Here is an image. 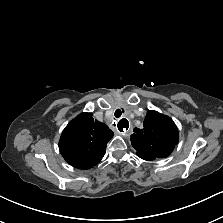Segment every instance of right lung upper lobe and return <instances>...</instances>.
Listing matches in <instances>:
<instances>
[{"label": "right lung upper lobe", "instance_id": "right-lung-upper-lobe-1", "mask_svg": "<svg viewBox=\"0 0 223 223\" xmlns=\"http://www.w3.org/2000/svg\"><path fill=\"white\" fill-rule=\"evenodd\" d=\"M114 133L107 125L82 113L74 118L62 132L59 149L73 167L89 169L103 158L106 145Z\"/></svg>", "mask_w": 223, "mask_h": 223}]
</instances>
